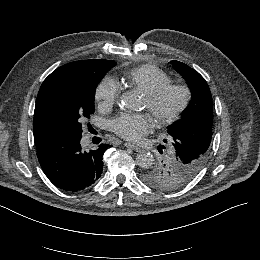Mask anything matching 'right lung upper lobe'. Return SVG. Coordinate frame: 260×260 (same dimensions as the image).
Instances as JSON below:
<instances>
[{
	"mask_svg": "<svg viewBox=\"0 0 260 260\" xmlns=\"http://www.w3.org/2000/svg\"><path fill=\"white\" fill-rule=\"evenodd\" d=\"M115 65L116 63L113 60L97 59V60L75 61L59 67L44 80L37 96L34 121H33L34 140H35L37 150L45 147L47 143L50 142L49 139H47L45 136H43L38 132L37 121L40 115V106H41L42 98L44 96L46 89L50 86L51 82L54 79L62 78L63 76L66 75L76 74L86 70L93 71L98 69H111Z\"/></svg>",
	"mask_w": 260,
	"mask_h": 260,
	"instance_id": "obj_1",
	"label": "right lung upper lobe"
}]
</instances>
